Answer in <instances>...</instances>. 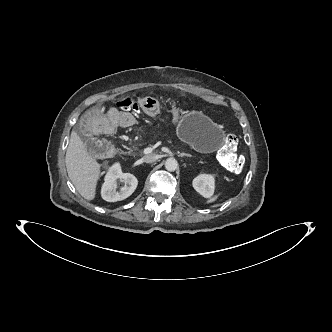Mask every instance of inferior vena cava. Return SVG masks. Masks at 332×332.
<instances>
[{"mask_svg":"<svg viewBox=\"0 0 332 332\" xmlns=\"http://www.w3.org/2000/svg\"><path fill=\"white\" fill-rule=\"evenodd\" d=\"M143 159L146 163H152L158 159V156L155 154H149V155H145L143 157Z\"/></svg>","mask_w":332,"mask_h":332,"instance_id":"inferior-vena-cava-1","label":"inferior vena cava"}]
</instances>
